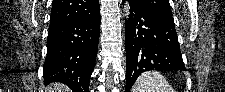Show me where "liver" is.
<instances>
[{
	"label": "liver",
	"mask_w": 225,
	"mask_h": 92,
	"mask_svg": "<svg viewBox=\"0 0 225 92\" xmlns=\"http://www.w3.org/2000/svg\"><path fill=\"white\" fill-rule=\"evenodd\" d=\"M46 90H48V92H68L69 89L67 87H65L64 85L61 84H50Z\"/></svg>",
	"instance_id": "obj_1"
}]
</instances>
